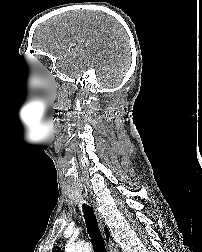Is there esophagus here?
<instances>
[{"label":"esophagus","mask_w":202,"mask_h":252,"mask_svg":"<svg viewBox=\"0 0 202 252\" xmlns=\"http://www.w3.org/2000/svg\"><path fill=\"white\" fill-rule=\"evenodd\" d=\"M91 202H92V207H93L94 213H95L97 220L99 222L100 229H101L102 233L104 234L103 217L100 214V212L98 211L96 203L93 200Z\"/></svg>","instance_id":"34e87169"}]
</instances>
